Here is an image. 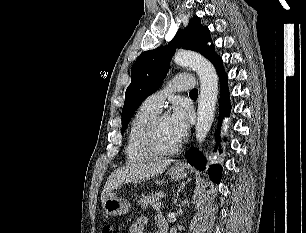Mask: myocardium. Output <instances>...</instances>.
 <instances>
[{
	"label": "myocardium",
	"instance_id": "f54148a6",
	"mask_svg": "<svg viewBox=\"0 0 306 233\" xmlns=\"http://www.w3.org/2000/svg\"><path fill=\"white\" fill-rule=\"evenodd\" d=\"M162 117L163 115L160 114L155 115L147 123L141 135L142 148L152 156H170L176 154L181 149L180 142H178V144L171 149H163L158 145L156 139V132L159 121Z\"/></svg>",
	"mask_w": 306,
	"mask_h": 233
}]
</instances>
